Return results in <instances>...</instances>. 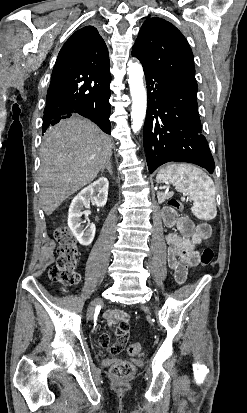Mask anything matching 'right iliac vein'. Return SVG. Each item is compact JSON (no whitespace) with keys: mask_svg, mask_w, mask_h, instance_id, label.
<instances>
[{"mask_svg":"<svg viewBox=\"0 0 247 413\" xmlns=\"http://www.w3.org/2000/svg\"><path fill=\"white\" fill-rule=\"evenodd\" d=\"M102 302L101 298H97L95 299L89 306L88 308V313H87V319L89 320L90 318H92L95 308L97 307V305H99Z\"/></svg>","mask_w":247,"mask_h":413,"instance_id":"1","label":"right iliac vein"}]
</instances>
